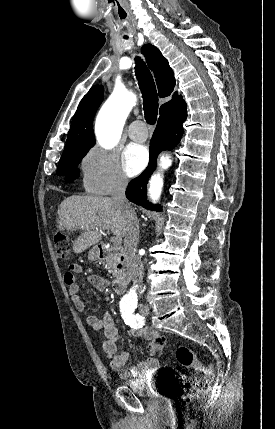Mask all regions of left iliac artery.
<instances>
[{"instance_id": "left-iliac-artery-1", "label": "left iliac artery", "mask_w": 275, "mask_h": 429, "mask_svg": "<svg viewBox=\"0 0 275 429\" xmlns=\"http://www.w3.org/2000/svg\"><path fill=\"white\" fill-rule=\"evenodd\" d=\"M136 306H123L121 307V315L125 323L131 328H141L144 324V318L139 314H134Z\"/></svg>"}]
</instances>
